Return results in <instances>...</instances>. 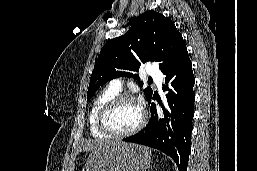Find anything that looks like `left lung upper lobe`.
Returning <instances> with one entry per match:
<instances>
[{
    "instance_id": "left-lung-upper-lobe-1",
    "label": "left lung upper lobe",
    "mask_w": 257,
    "mask_h": 171,
    "mask_svg": "<svg viewBox=\"0 0 257 171\" xmlns=\"http://www.w3.org/2000/svg\"><path fill=\"white\" fill-rule=\"evenodd\" d=\"M184 46L181 33L170 19L154 11L144 12L126 34L108 41L101 49L90 78L87 100L107 81L133 76L125 70L136 71L141 63L158 62L161 69L171 55ZM152 93L150 87L144 90L147 100Z\"/></svg>"
}]
</instances>
